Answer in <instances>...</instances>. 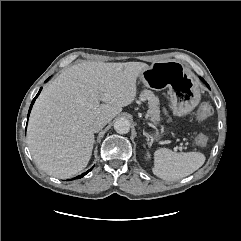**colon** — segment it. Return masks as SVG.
<instances>
[{
    "instance_id": "1",
    "label": "colon",
    "mask_w": 241,
    "mask_h": 241,
    "mask_svg": "<svg viewBox=\"0 0 241 241\" xmlns=\"http://www.w3.org/2000/svg\"><path fill=\"white\" fill-rule=\"evenodd\" d=\"M213 114V109L208 104H202L197 112H196V118L198 120H206ZM195 142L198 146L204 147L207 144V137L203 134H200L196 137Z\"/></svg>"
}]
</instances>
